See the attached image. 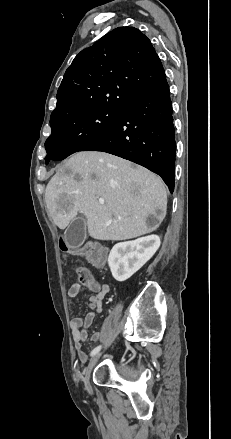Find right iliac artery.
<instances>
[{"mask_svg": "<svg viewBox=\"0 0 231 439\" xmlns=\"http://www.w3.org/2000/svg\"><path fill=\"white\" fill-rule=\"evenodd\" d=\"M100 349H101V345H100V346H97L96 348H94V349L91 351L90 356H94L95 354H97V353L100 351Z\"/></svg>", "mask_w": 231, "mask_h": 439, "instance_id": "obj_1", "label": "right iliac artery"}]
</instances>
